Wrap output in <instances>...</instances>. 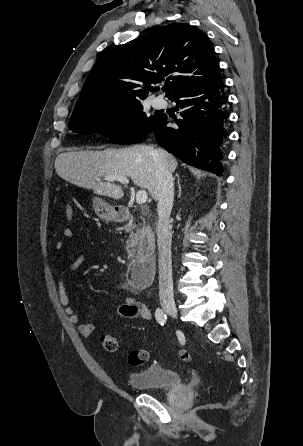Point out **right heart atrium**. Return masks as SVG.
Instances as JSON below:
<instances>
[{
    "instance_id": "d8ad5b80",
    "label": "right heart atrium",
    "mask_w": 303,
    "mask_h": 446,
    "mask_svg": "<svg viewBox=\"0 0 303 446\" xmlns=\"http://www.w3.org/2000/svg\"><path fill=\"white\" fill-rule=\"evenodd\" d=\"M128 124H129V121L127 119L123 118L117 123V127L120 130H125L127 128Z\"/></svg>"
}]
</instances>
